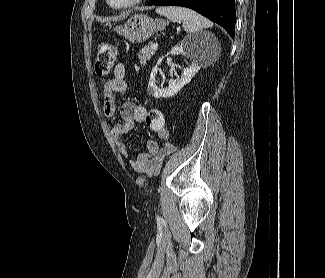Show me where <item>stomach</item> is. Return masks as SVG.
<instances>
[{"mask_svg":"<svg viewBox=\"0 0 325 278\" xmlns=\"http://www.w3.org/2000/svg\"><path fill=\"white\" fill-rule=\"evenodd\" d=\"M165 27L166 23L161 19H152L144 14H136L124 25L116 26L114 31L131 43H142Z\"/></svg>","mask_w":325,"mask_h":278,"instance_id":"1","label":"stomach"}]
</instances>
